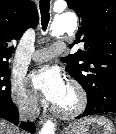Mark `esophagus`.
I'll return each mask as SVG.
<instances>
[{"label": "esophagus", "instance_id": "esophagus-1", "mask_svg": "<svg viewBox=\"0 0 116 134\" xmlns=\"http://www.w3.org/2000/svg\"><path fill=\"white\" fill-rule=\"evenodd\" d=\"M46 119H47V116H46V115H42V116L39 118V123H40V124H43Z\"/></svg>", "mask_w": 116, "mask_h": 134}]
</instances>
